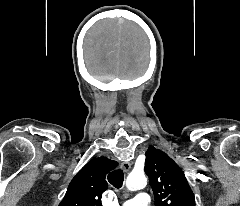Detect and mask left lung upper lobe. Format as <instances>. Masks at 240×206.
Wrapping results in <instances>:
<instances>
[{"instance_id": "left-lung-upper-lobe-1", "label": "left lung upper lobe", "mask_w": 240, "mask_h": 206, "mask_svg": "<svg viewBox=\"0 0 240 206\" xmlns=\"http://www.w3.org/2000/svg\"><path fill=\"white\" fill-rule=\"evenodd\" d=\"M145 173L156 206H195L194 194L179 166L164 152L150 146L145 153Z\"/></svg>"}]
</instances>
